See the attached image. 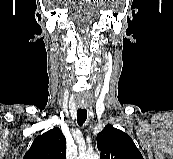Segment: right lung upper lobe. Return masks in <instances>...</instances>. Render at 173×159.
I'll use <instances>...</instances> for the list:
<instances>
[{"mask_svg": "<svg viewBox=\"0 0 173 159\" xmlns=\"http://www.w3.org/2000/svg\"><path fill=\"white\" fill-rule=\"evenodd\" d=\"M23 159H66V139L58 127L37 136Z\"/></svg>", "mask_w": 173, "mask_h": 159, "instance_id": "cb5924a9", "label": "right lung upper lobe"}]
</instances>
